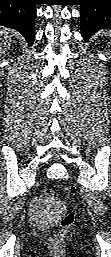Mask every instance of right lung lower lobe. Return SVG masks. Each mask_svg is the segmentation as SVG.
Here are the masks:
<instances>
[{
	"label": "right lung lower lobe",
	"mask_w": 111,
	"mask_h": 257,
	"mask_svg": "<svg viewBox=\"0 0 111 257\" xmlns=\"http://www.w3.org/2000/svg\"><path fill=\"white\" fill-rule=\"evenodd\" d=\"M35 0H0V25L17 30L28 45L35 39Z\"/></svg>",
	"instance_id": "98d812e1"
}]
</instances>
